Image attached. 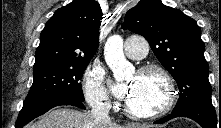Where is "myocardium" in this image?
Masks as SVG:
<instances>
[{
  "label": "myocardium",
  "instance_id": "f54148a6",
  "mask_svg": "<svg viewBox=\"0 0 221 128\" xmlns=\"http://www.w3.org/2000/svg\"><path fill=\"white\" fill-rule=\"evenodd\" d=\"M150 73L157 74L162 79L165 87L164 99L160 103H156L155 109H147L142 111L132 110L128 103L125 101L124 111L129 117L133 119L147 120L157 118L167 113L173 106L176 97V90L174 80L169 71L162 66L149 64L141 67L137 76L141 77Z\"/></svg>",
  "mask_w": 221,
  "mask_h": 128
}]
</instances>
